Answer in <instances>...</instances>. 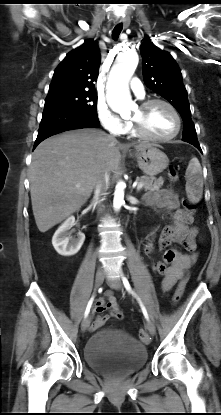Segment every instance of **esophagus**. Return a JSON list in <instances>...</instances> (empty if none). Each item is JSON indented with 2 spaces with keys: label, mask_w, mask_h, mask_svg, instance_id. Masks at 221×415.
Listing matches in <instances>:
<instances>
[{
  "label": "esophagus",
  "mask_w": 221,
  "mask_h": 415,
  "mask_svg": "<svg viewBox=\"0 0 221 415\" xmlns=\"http://www.w3.org/2000/svg\"><path fill=\"white\" fill-rule=\"evenodd\" d=\"M119 22L123 23V25H124L125 27H127V26L130 24V20H129V18H128V17H123V18H121V19L119 20Z\"/></svg>",
  "instance_id": "34e87169"
}]
</instances>
